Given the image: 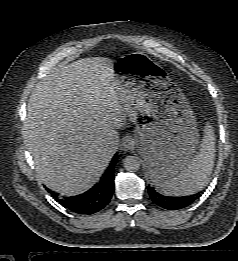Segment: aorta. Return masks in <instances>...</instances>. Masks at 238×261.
Here are the masks:
<instances>
[{"label":"aorta","instance_id":"aorta-1","mask_svg":"<svg viewBox=\"0 0 238 261\" xmlns=\"http://www.w3.org/2000/svg\"><path fill=\"white\" fill-rule=\"evenodd\" d=\"M124 168L129 172H136L139 170L141 162L136 156H126L123 160Z\"/></svg>","mask_w":238,"mask_h":261}]
</instances>
